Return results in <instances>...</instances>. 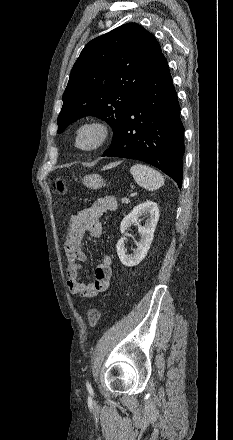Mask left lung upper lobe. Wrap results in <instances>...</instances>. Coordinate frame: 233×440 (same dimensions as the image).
<instances>
[{"instance_id":"obj_1","label":"left lung upper lobe","mask_w":233,"mask_h":440,"mask_svg":"<svg viewBox=\"0 0 233 440\" xmlns=\"http://www.w3.org/2000/svg\"><path fill=\"white\" fill-rule=\"evenodd\" d=\"M161 55L156 38L136 23L91 40L71 70L57 132L81 117L95 115L112 126L115 136Z\"/></svg>"}]
</instances>
